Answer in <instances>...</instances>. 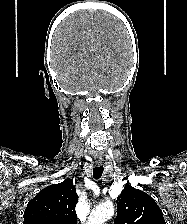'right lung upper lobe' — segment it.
I'll return each instance as SVG.
<instances>
[{
    "instance_id": "1",
    "label": "right lung upper lobe",
    "mask_w": 187,
    "mask_h": 224,
    "mask_svg": "<svg viewBox=\"0 0 187 224\" xmlns=\"http://www.w3.org/2000/svg\"><path fill=\"white\" fill-rule=\"evenodd\" d=\"M77 201L78 195L70 178L50 185L28 202L23 224H77Z\"/></svg>"
}]
</instances>
